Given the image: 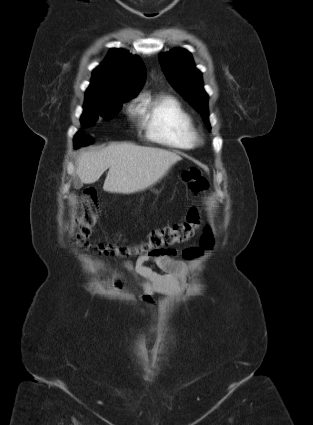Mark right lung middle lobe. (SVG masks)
<instances>
[{
    "instance_id": "obj_1",
    "label": "right lung middle lobe",
    "mask_w": 313,
    "mask_h": 425,
    "mask_svg": "<svg viewBox=\"0 0 313 425\" xmlns=\"http://www.w3.org/2000/svg\"><path fill=\"white\" fill-rule=\"evenodd\" d=\"M131 98L132 97L126 95H111L98 100L85 102L84 112L80 119L82 126H91L99 118L108 119L113 117L121 110L122 103ZM79 133H77L74 138V147L78 148L90 144L80 136Z\"/></svg>"
}]
</instances>
